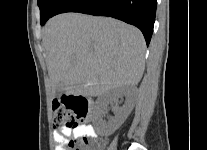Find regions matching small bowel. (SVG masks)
I'll return each instance as SVG.
<instances>
[{"label": "small bowel", "mask_w": 207, "mask_h": 150, "mask_svg": "<svg viewBox=\"0 0 207 150\" xmlns=\"http://www.w3.org/2000/svg\"><path fill=\"white\" fill-rule=\"evenodd\" d=\"M96 132L91 125H80L76 128L63 127L57 129L53 133V138L56 143V150H62L61 144L69 138H94Z\"/></svg>", "instance_id": "c3829d8e"}]
</instances>
